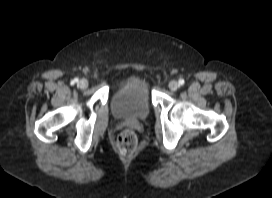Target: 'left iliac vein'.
<instances>
[{
	"instance_id": "left-iliac-vein-1",
	"label": "left iliac vein",
	"mask_w": 272,
	"mask_h": 198,
	"mask_svg": "<svg viewBox=\"0 0 272 198\" xmlns=\"http://www.w3.org/2000/svg\"><path fill=\"white\" fill-rule=\"evenodd\" d=\"M169 88L172 90V91H176L178 90L179 88V83L175 80H172L170 83H169Z\"/></svg>"
}]
</instances>
